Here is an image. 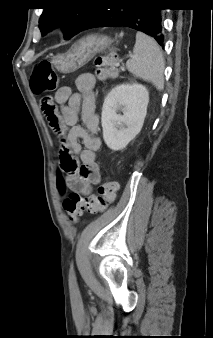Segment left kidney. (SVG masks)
Here are the masks:
<instances>
[{"instance_id": "left-kidney-1", "label": "left kidney", "mask_w": 213, "mask_h": 338, "mask_svg": "<svg viewBox=\"0 0 213 338\" xmlns=\"http://www.w3.org/2000/svg\"><path fill=\"white\" fill-rule=\"evenodd\" d=\"M149 92L139 83L114 87L104 99L101 123L103 139L114 151L124 149L141 131L147 113ZM121 109L123 115H118Z\"/></svg>"}]
</instances>
